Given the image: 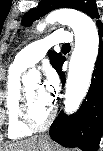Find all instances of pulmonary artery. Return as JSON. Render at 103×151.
Here are the masks:
<instances>
[{
	"label": "pulmonary artery",
	"mask_w": 103,
	"mask_h": 151,
	"mask_svg": "<svg viewBox=\"0 0 103 151\" xmlns=\"http://www.w3.org/2000/svg\"><path fill=\"white\" fill-rule=\"evenodd\" d=\"M72 40L73 36L70 32L57 31L26 46L17 54L15 61L25 68L31 67L40 61L52 46L60 43L68 44Z\"/></svg>",
	"instance_id": "obj_1"
}]
</instances>
